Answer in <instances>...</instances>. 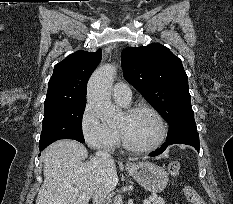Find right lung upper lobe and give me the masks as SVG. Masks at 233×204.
Here are the masks:
<instances>
[{"label":"right lung upper lobe","mask_w":233,"mask_h":204,"mask_svg":"<svg viewBox=\"0 0 233 204\" xmlns=\"http://www.w3.org/2000/svg\"><path fill=\"white\" fill-rule=\"evenodd\" d=\"M102 58L96 52L79 50L54 66L49 80L45 104L65 101H86V84Z\"/></svg>","instance_id":"cb5924a9"}]
</instances>
